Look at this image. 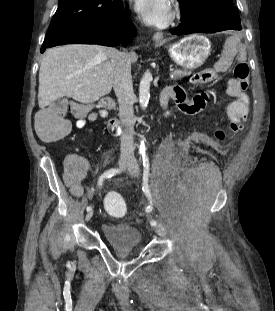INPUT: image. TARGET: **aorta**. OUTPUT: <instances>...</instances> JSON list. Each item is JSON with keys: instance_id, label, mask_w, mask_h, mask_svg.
Masks as SVG:
<instances>
[{"instance_id": "762f6f07", "label": "aorta", "mask_w": 275, "mask_h": 311, "mask_svg": "<svg viewBox=\"0 0 275 311\" xmlns=\"http://www.w3.org/2000/svg\"><path fill=\"white\" fill-rule=\"evenodd\" d=\"M152 81V74L149 70H147L139 85V101L142 109H145L148 105L149 98H150V83ZM141 149H143V146H141Z\"/></svg>"}]
</instances>
